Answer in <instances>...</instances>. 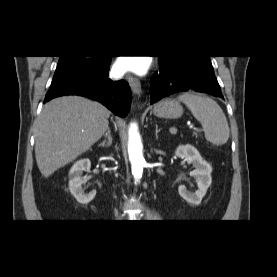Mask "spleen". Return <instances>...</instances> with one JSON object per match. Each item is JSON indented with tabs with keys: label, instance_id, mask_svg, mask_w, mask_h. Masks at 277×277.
I'll return each instance as SVG.
<instances>
[{
	"label": "spleen",
	"instance_id": "obj_1",
	"mask_svg": "<svg viewBox=\"0 0 277 277\" xmlns=\"http://www.w3.org/2000/svg\"><path fill=\"white\" fill-rule=\"evenodd\" d=\"M202 124L205 138L214 145L228 141L230 130L221 107L211 98L187 92L178 96Z\"/></svg>",
	"mask_w": 277,
	"mask_h": 277
}]
</instances>
